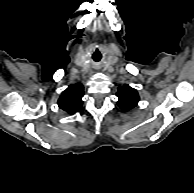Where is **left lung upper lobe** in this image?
<instances>
[{
  "label": "left lung upper lobe",
  "instance_id": "5c2ea615",
  "mask_svg": "<svg viewBox=\"0 0 194 193\" xmlns=\"http://www.w3.org/2000/svg\"><path fill=\"white\" fill-rule=\"evenodd\" d=\"M117 96L119 98L118 106L123 111L131 110L138 104L139 101V95L137 91L128 85L119 87Z\"/></svg>",
  "mask_w": 194,
  "mask_h": 193
}]
</instances>
